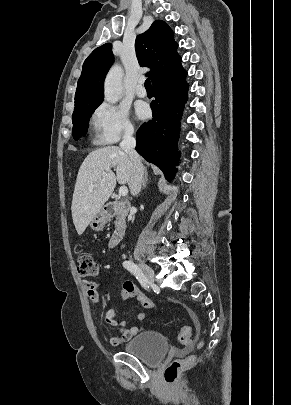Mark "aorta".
Masks as SVG:
<instances>
[{
  "instance_id": "obj_1",
  "label": "aorta",
  "mask_w": 291,
  "mask_h": 405,
  "mask_svg": "<svg viewBox=\"0 0 291 405\" xmlns=\"http://www.w3.org/2000/svg\"><path fill=\"white\" fill-rule=\"evenodd\" d=\"M123 69L114 65L108 72L104 82V98L109 103H117L122 96Z\"/></svg>"
}]
</instances>
